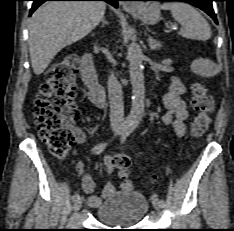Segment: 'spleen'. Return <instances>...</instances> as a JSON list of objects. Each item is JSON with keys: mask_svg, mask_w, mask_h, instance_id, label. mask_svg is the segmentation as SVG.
Returning a JSON list of instances; mask_svg holds the SVG:
<instances>
[{"mask_svg": "<svg viewBox=\"0 0 234 231\" xmlns=\"http://www.w3.org/2000/svg\"><path fill=\"white\" fill-rule=\"evenodd\" d=\"M161 9L170 10L173 18L182 26L178 34L194 40H208L211 28L204 17L191 5L183 2H166Z\"/></svg>", "mask_w": 234, "mask_h": 231, "instance_id": "spleen-1", "label": "spleen"}]
</instances>
